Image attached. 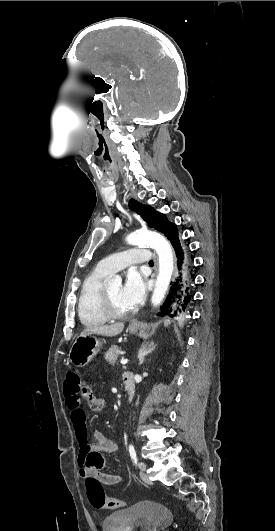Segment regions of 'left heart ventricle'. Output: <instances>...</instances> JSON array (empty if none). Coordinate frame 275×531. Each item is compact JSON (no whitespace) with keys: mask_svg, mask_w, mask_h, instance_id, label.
Here are the masks:
<instances>
[{"mask_svg":"<svg viewBox=\"0 0 275 531\" xmlns=\"http://www.w3.org/2000/svg\"><path fill=\"white\" fill-rule=\"evenodd\" d=\"M105 286L110 293L111 300L116 311L124 313L132 309L125 303L122 297V286L120 283L106 284Z\"/></svg>","mask_w":275,"mask_h":531,"instance_id":"left-heart-ventricle-1","label":"left heart ventricle"}]
</instances>
